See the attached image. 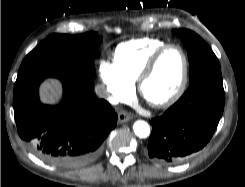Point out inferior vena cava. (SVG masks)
I'll use <instances>...</instances> for the list:
<instances>
[{
  "label": "inferior vena cava",
  "mask_w": 245,
  "mask_h": 187,
  "mask_svg": "<svg viewBox=\"0 0 245 187\" xmlns=\"http://www.w3.org/2000/svg\"><path fill=\"white\" fill-rule=\"evenodd\" d=\"M95 91H96V94L99 95L100 97H104V98H107L109 99L110 101L113 100V98L109 95L105 85H97L95 87Z\"/></svg>",
  "instance_id": "obj_1"
}]
</instances>
